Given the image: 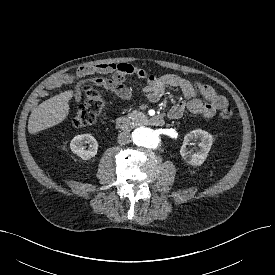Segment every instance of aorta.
Masks as SVG:
<instances>
[{"instance_id":"obj_1","label":"aorta","mask_w":275,"mask_h":275,"mask_svg":"<svg viewBox=\"0 0 275 275\" xmlns=\"http://www.w3.org/2000/svg\"><path fill=\"white\" fill-rule=\"evenodd\" d=\"M134 143L143 148L155 149L159 144V138L156 132L147 127H138L133 132Z\"/></svg>"}]
</instances>
